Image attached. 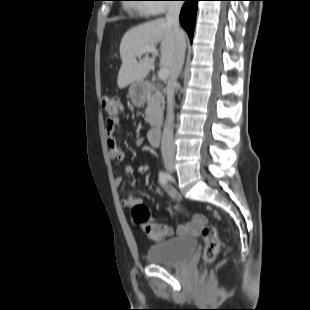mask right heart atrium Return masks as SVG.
<instances>
[{
    "label": "right heart atrium",
    "mask_w": 310,
    "mask_h": 310,
    "mask_svg": "<svg viewBox=\"0 0 310 310\" xmlns=\"http://www.w3.org/2000/svg\"><path fill=\"white\" fill-rule=\"evenodd\" d=\"M153 4H149L148 8L151 10V14H162L168 9L169 0H150Z\"/></svg>",
    "instance_id": "right-heart-atrium-1"
}]
</instances>
